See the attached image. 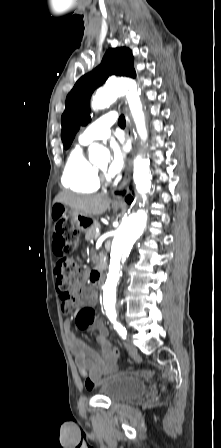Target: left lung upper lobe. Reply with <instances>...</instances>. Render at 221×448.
I'll return each mask as SVG.
<instances>
[{"instance_id": "left-lung-upper-lobe-1", "label": "left lung upper lobe", "mask_w": 221, "mask_h": 448, "mask_svg": "<svg viewBox=\"0 0 221 448\" xmlns=\"http://www.w3.org/2000/svg\"><path fill=\"white\" fill-rule=\"evenodd\" d=\"M112 74L136 77L130 49L125 47L109 49L101 64L82 76L68 94L66 108L61 117V138L65 149L71 145L80 125H86L91 119L89 115L91 94Z\"/></svg>"}]
</instances>
